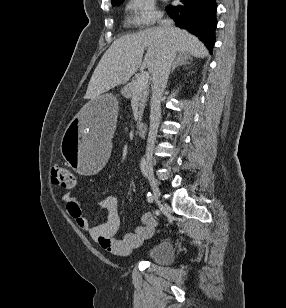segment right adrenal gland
<instances>
[{"label": "right adrenal gland", "instance_id": "right-adrenal-gland-1", "mask_svg": "<svg viewBox=\"0 0 286 308\" xmlns=\"http://www.w3.org/2000/svg\"><path fill=\"white\" fill-rule=\"evenodd\" d=\"M191 62H192V58L189 54L179 53V55L176 57V60L174 61L172 65L171 72H173L176 67L181 66V65L190 64Z\"/></svg>", "mask_w": 286, "mask_h": 308}]
</instances>
